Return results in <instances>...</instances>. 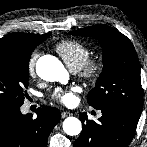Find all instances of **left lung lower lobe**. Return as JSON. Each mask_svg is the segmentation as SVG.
I'll return each instance as SVG.
<instances>
[{
    "instance_id": "left-lung-lower-lobe-1",
    "label": "left lung lower lobe",
    "mask_w": 147,
    "mask_h": 147,
    "mask_svg": "<svg viewBox=\"0 0 147 147\" xmlns=\"http://www.w3.org/2000/svg\"><path fill=\"white\" fill-rule=\"evenodd\" d=\"M99 122L87 119L80 113L83 129L74 147H128L131 143L139 117L119 108H100Z\"/></svg>"
}]
</instances>
